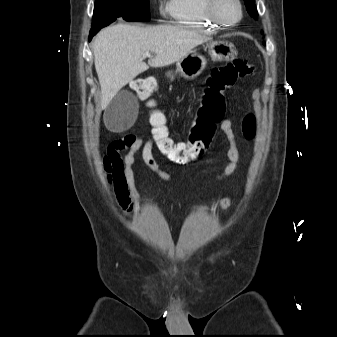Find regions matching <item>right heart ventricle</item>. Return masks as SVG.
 <instances>
[{
    "label": "right heart ventricle",
    "instance_id": "1",
    "mask_svg": "<svg viewBox=\"0 0 337 337\" xmlns=\"http://www.w3.org/2000/svg\"><path fill=\"white\" fill-rule=\"evenodd\" d=\"M165 13L172 22L189 29L213 33L224 27L209 17L207 0H168Z\"/></svg>",
    "mask_w": 337,
    "mask_h": 337
}]
</instances>
